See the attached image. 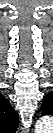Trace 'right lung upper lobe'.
<instances>
[{"label":"right lung upper lobe","instance_id":"1","mask_svg":"<svg viewBox=\"0 0 53 133\" xmlns=\"http://www.w3.org/2000/svg\"><path fill=\"white\" fill-rule=\"evenodd\" d=\"M19 125L18 114L9 101L0 95V129L6 133H14Z\"/></svg>","mask_w":53,"mask_h":133}]
</instances>
